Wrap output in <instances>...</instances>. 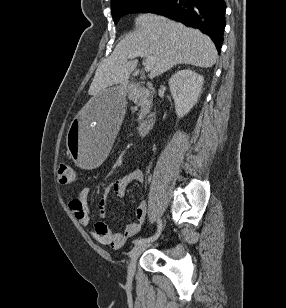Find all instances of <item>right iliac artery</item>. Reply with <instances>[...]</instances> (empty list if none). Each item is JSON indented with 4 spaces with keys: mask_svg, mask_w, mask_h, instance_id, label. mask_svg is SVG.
<instances>
[{
    "mask_svg": "<svg viewBox=\"0 0 286 308\" xmlns=\"http://www.w3.org/2000/svg\"><path fill=\"white\" fill-rule=\"evenodd\" d=\"M161 230H162V221L160 219H158L157 220V232L155 233V235L148 237V238L140 237L138 239H135L133 244L138 245V244L154 241L155 239H157L159 237Z\"/></svg>",
    "mask_w": 286,
    "mask_h": 308,
    "instance_id": "1",
    "label": "right iliac artery"
}]
</instances>
